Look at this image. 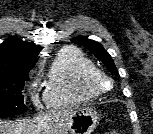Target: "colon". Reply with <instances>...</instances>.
Returning a JSON list of instances; mask_svg holds the SVG:
<instances>
[{
  "label": "colon",
  "instance_id": "5ec220e1",
  "mask_svg": "<svg viewBox=\"0 0 153 134\" xmlns=\"http://www.w3.org/2000/svg\"><path fill=\"white\" fill-rule=\"evenodd\" d=\"M106 134H120V133L117 132V131H110V132H108V133H106Z\"/></svg>",
  "mask_w": 153,
  "mask_h": 134
}]
</instances>
